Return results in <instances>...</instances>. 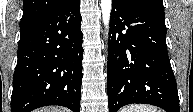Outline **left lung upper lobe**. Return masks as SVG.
<instances>
[{
  "label": "left lung upper lobe",
  "instance_id": "obj_1",
  "mask_svg": "<svg viewBox=\"0 0 193 112\" xmlns=\"http://www.w3.org/2000/svg\"><path fill=\"white\" fill-rule=\"evenodd\" d=\"M113 1L129 9H140L153 6H160L164 8L162 0H113Z\"/></svg>",
  "mask_w": 193,
  "mask_h": 112
}]
</instances>
